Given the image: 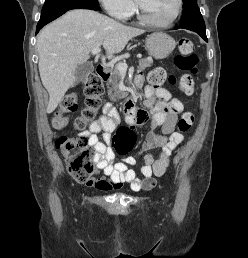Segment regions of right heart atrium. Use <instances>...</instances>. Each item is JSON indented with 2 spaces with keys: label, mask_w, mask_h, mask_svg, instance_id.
<instances>
[{
  "label": "right heart atrium",
  "mask_w": 248,
  "mask_h": 258,
  "mask_svg": "<svg viewBox=\"0 0 248 258\" xmlns=\"http://www.w3.org/2000/svg\"><path fill=\"white\" fill-rule=\"evenodd\" d=\"M105 11L116 19H126L133 11L131 0H99Z\"/></svg>",
  "instance_id": "obj_1"
}]
</instances>
